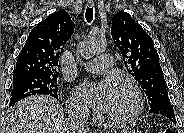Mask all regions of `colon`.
<instances>
[{
    "instance_id": "colon-1",
    "label": "colon",
    "mask_w": 184,
    "mask_h": 133,
    "mask_svg": "<svg viewBox=\"0 0 184 133\" xmlns=\"http://www.w3.org/2000/svg\"><path fill=\"white\" fill-rule=\"evenodd\" d=\"M162 132L163 133H172L173 131L170 128H165Z\"/></svg>"
}]
</instances>
